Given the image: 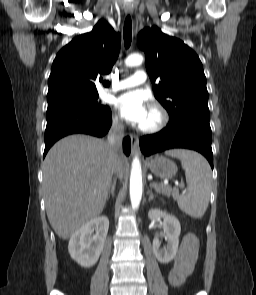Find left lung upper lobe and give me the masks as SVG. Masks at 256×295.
<instances>
[{"mask_svg":"<svg viewBox=\"0 0 256 295\" xmlns=\"http://www.w3.org/2000/svg\"><path fill=\"white\" fill-rule=\"evenodd\" d=\"M137 43L145 52L154 96L167 110L170 123L184 117L209 120L206 77L197 54L156 26L143 29Z\"/></svg>","mask_w":256,"mask_h":295,"instance_id":"5c2ea615","label":"left lung upper lobe"}]
</instances>
